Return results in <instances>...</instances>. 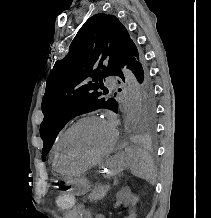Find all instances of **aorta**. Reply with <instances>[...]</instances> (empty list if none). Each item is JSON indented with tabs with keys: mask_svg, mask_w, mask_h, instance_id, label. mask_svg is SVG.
I'll list each match as a JSON object with an SVG mask.
<instances>
[{
	"mask_svg": "<svg viewBox=\"0 0 211 218\" xmlns=\"http://www.w3.org/2000/svg\"><path fill=\"white\" fill-rule=\"evenodd\" d=\"M125 80L128 98V110L125 119V130L131 133L138 124L140 115V86L130 70L122 69Z\"/></svg>",
	"mask_w": 211,
	"mask_h": 218,
	"instance_id": "aorta-1",
	"label": "aorta"
}]
</instances>
